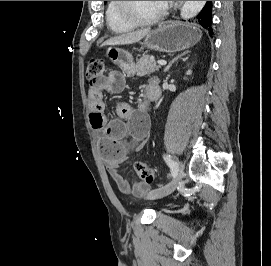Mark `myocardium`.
Segmentation results:
<instances>
[{
	"label": "myocardium",
	"mask_w": 271,
	"mask_h": 266,
	"mask_svg": "<svg viewBox=\"0 0 271 266\" xmlns=\"http://www.w3.org/2000/svg\"><path fill=\"white\" fill-rule=\"evenodd\" d=\"M118 10L120 16L133 26H147L160 21L166 13V5L163 3L161 10L154 16L148 19H140L134 15L129 7V1H118Z\"/></svg>",
	"instance_id": "obj_1"
}]
</instances>
